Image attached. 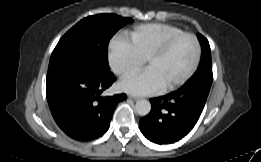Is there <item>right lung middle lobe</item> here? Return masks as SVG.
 Listing matches in <instances>:
<instances>
[{
	"label": "right lung middle lobe",
	"instance_id": "right-lung-middle-lobe-1",
	"mask_svg": "<svg viewBox=\"0 0 261 162\" xmlns=\"http://www.w3.org/2000/svg\"><path fill=\"white\" fill-rule=\"evenodd\" d=\"M131 18L116 14H99L82 19L58 42L52 52L48 71L70 63H86L110 71L108 44L112 36Z\"/></svg>",
	"mask_w": 261,
	"mask_h": 162
}]
</instances>
